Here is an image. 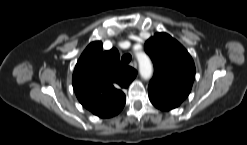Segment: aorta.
I'll return each instance as SVG.
<instances>
[{
  "label": "aorta",
  "instance_id": "762f6f07",
  "mask_svg": "<svg viewBox=\"0 0 247 145\" xmlns=\"http://www.w3.org/2000/svg\"><path fill=\"white\" fill-rule=\"evenodd\" d=\"M137 58L141 77L145 80L150 79L153 73V67L150 59L145 54H138Z\"/></svg>",
  "mask_w": 247,
  "mask_h": 145
}]
</instances>
